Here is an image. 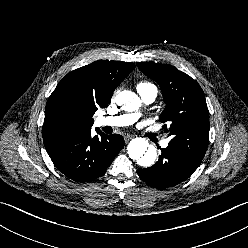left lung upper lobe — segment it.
I'll return each instance as SVG.
<instances>
[{
    "instance_id": "5c2ea615",
    "label": "left lung upper lobe",
    "mask_w": 248,
    "mask_h": 248,
    "mask_svg": "<svg viewBox=\"0 0 248 248\" xmlns=\"http://www.w3.org/2000/svg\"><path fill=\"white\" fill-rule=\"evenodd\" d=\"M138 68L161 87L166 104L160 122L173 138V147L190 161L200 164L209 141L208 108L199 84L187 74L167 64L139 62Z\"/></svg>"
}]
</instances>
